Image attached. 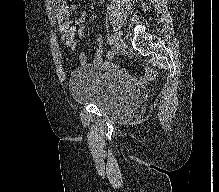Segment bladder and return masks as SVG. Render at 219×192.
Wrapping results in <instances>:
<instances>
[{
    "label": "bladder",
    "mask_w": 219,
    "mask_h": 192,
    "mask_svg": "<svg viewBox=\"0 0 219 192\" xmlns=\"http://www.w3.org/2000/svg\"><path fill=\"white\" fill-rule=\"evenodd\" d=\"M70 92L80 103L96 106L106 115L126 119L139 110V92L122 72L103 65L77 67L69 77Z\"/></svg>",
    "instance_id": "obj_1"
}]
</instances>
